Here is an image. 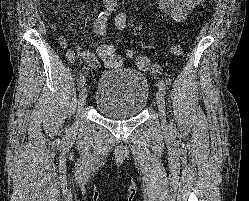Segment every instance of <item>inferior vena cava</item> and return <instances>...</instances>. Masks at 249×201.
Here are the masks:
<instances>
[{
	"instance_id": "602c4592",
	"label": "inferior vena cava",
	"mask_w": 249,
	"mask_h": 201,
	"mask_svg": "<svg viewBox=\"0 0 249 201\" xmlns=\"http://www.w3.org/2000/svg\"><path fill=\"white\" fill-rule=\"evenodd\" d=\"M117 0H104L107 5H115Z\"/></svg>"
}]
</instances>
